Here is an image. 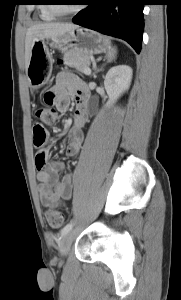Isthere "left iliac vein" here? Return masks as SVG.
<instances>
[{"mask_svg": "<svg viewBox=\"0 0 181 300\" xmlns=\"http://www.w3.org/2000/svg\"><path fill=\"white\" fill-rule=\"evenodd\" d=\"M73 239H74V232L71 230L63 237L60 243L61 255L66 256L69 253Z\"/></svg>", "mask_w": 181, "mask_h": 300, "instance_id": "obj_1", "label": "left iliac vein"}]
</instances>
